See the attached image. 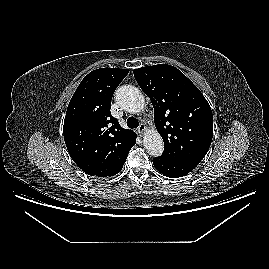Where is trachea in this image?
I'll return each mask as SVG.
<instances>
[{"label": "trachea", "instance_id": "1", "mask_svg": "<svg viewBox=\"0 0 269 269\" xmlns=\"http://www.w3.org/2000/svg\"><path fill=\"white\" fill-rule=\"evenodd\" d=\"M127 126H128L129 128H137V127L139 126V122H138V120H137L136 118H134V117H129V118L127 119Z\"/></svg>", "mask_w": 269, "mask_h": 269}]
</instances>
